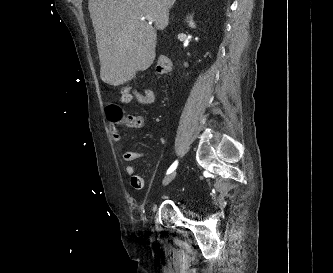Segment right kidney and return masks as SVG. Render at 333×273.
<instances>
[{
    "mask_svg": "<svg viewBox=\"0 0 333 273\" xmlns=\"http://www.w3.org/2000/svg\"><path fill=\"white\" fill-rule=\"evenodd\" d=\"M189 25H190L191 27H195V26H194V23H193L192 21L189 22Z\"/></svg>",
    "mask_w": 333,
    "mask_h": 273,
    "instance_id": "obj_1",
    "label": "right kidney"
}]
</instances>
